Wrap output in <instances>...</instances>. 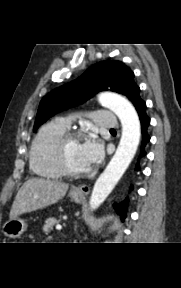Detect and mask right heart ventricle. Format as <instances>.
Wrapping results in <instances>:
<instances>
[{
  "label": "right heart ventricle",
  "mask_w": 181,
  "mask_h": 288,
  "mask_svg": "<svg viewBox=\"0 0 181 288\" xmlns=\"http://www.w3.org/2000/svg\"><path fill=\"white\" fill-rule=\"evenodd\" d=\"M67 129L53 121L43 125L35 136L29 156L32 172L45 179H60L64 174L56 161V144Z\"/></svg>",
  "instance_id": "1"
}]
</instances>
